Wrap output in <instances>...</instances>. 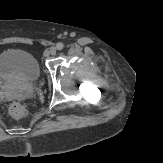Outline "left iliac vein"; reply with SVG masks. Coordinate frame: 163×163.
<instances>
[{
    "label": "left iliac vein",
    "mask_w": 163,
    "mask_h": 163,
    "mask_svg": "<svg viewBox=\"0 0 163 163\" xmlns=\"http://www.w3.org/2000/svg\"><path fill=\"white\" fill-rule=\"evenodd\" d=\"M56 52H57V49L55 47H52L51 50H50V54L55 55Z\"/></svg>",
    "instance_id": "1"
}]
</instances>
